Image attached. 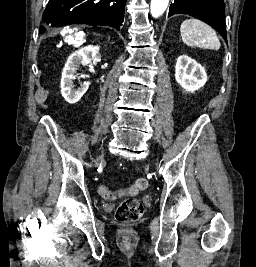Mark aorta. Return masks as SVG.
<instances>
[{
  "label": "aorta",
  "instance_id": "aorta-1",
  "mask_svg": "<svg viewBox=\"0 0 256 267\" xmlns=\"http://www.w3.org/2000/svg\"><path fill=\"white\" fill-rule=\"evenodd\" d=\"M168 4L169 0H151L150 12L152 18H160L164 14Z\"/></svg>",
  "mask_w": 256,
  "mask_h": 267
}]
</instances>
